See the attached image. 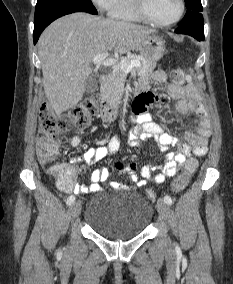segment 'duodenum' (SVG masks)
Returning <instances> with one entry per match:
<instances>
[{
    "mask_svg": "<svg viewBox=\"0 0 233 284\" xmlns=\"http://www.w3.org/2000/svg\"><path fill=\"white\" fill-rule=\"evenodd\" d=\"M108 82V76L106 74H101L99 76V83L101 86H105ZM118 116L117 107L104 103L101 105L99 109V117L103 122H111L114 121Z\"/></svg>",
    "mask_w": 233,
    "mask_h": 284,
    "instance_id": "obj_1",
    "label": "duodenum"
}]
</instances>
